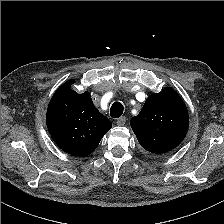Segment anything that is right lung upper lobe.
<instances>
[{
	"label": "right lung upper lobe",
	"instance_id": "1",
	"mask_svg": "<svg viewBox=\"0 0 224 224\" xmlns=\"http://www.w3.org/2000/svg\"><path fill=\"white\" fill-rule=\"evenodd\" d=\"M70 80L53 95L46 122L53 141L60 149L74 156H87L98 146L112 127L111 121L93 105L89 92L78 94Z\"/></svg>",
	"mask_w": 224,
	"mask_h": 224
}]
</instances>
